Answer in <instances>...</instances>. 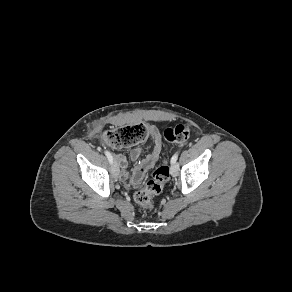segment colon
Here are the masks:
<instances>
[{
	"label": "colon",
	"mask_w": 292,
	"mask_h": 292,
	"mask_svg": "<svg viewBox=\"0 0 292 292\" xmlns=\"http://www.w3.org/2000/svg\"><path fill=\"white\" fill-rule=\"evenodd\" d=\"M151 133V127L144 123H137L106 130L101 136V142L116 148L126 147L149 138ZM189 135L190 129L188 125L184 123L168 127L163 132L165 140L170 143H183L189 138ZM168 178L169 167L167 160L164 159L162 163L154 169L152 178L145 186L135 192V202L145 209H153L154 197L161 193Z\"/></svg>",
	"instance_id": "5ec220e1"
}]
</instances>
